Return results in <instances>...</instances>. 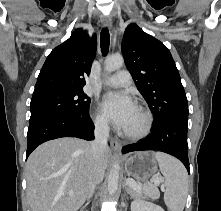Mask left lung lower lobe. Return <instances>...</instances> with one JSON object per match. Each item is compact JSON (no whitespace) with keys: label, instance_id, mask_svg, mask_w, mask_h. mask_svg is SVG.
Returning <instances> with one entry per match:
<instances>
[{"label":"left lung lower lobe","instance_id":"1","mask_svg":"<svg viewBox=\"0 0 221 211\" xmlns=\"http://www.w3.org/2000/svg\"><path fill=\"white\" fill-rule=\"evenodd\" d=\"M188 116L176 115L165 118L152 125L151 134L137 142L127 145L122 152L155 150L178 158L190 172L187 144Z\"/></svg>","mask_w":221,"mask_h":211}]
</instances>
